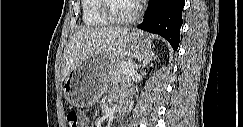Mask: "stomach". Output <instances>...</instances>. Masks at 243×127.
Returning a JSON list of instances; mask_svg holds the SVG:
<instances>
[{
    "label": "stomach",
    "mask_w": 243,
    "mask_h": 127,
    "mask_svg": "<svg viewBox=\"0 0 243 127\" xmlns=\"http://www.w3.org/2000/svg\"><path fill=\"white\" fill-rule=\"evenodd\" d=\"M151 47V38L138 30L119 37L109 49L84 60L68 74L63 84L66 101L78 108L92 106L103 93L111 67L121 60L149 55Z\"/></svg>",
    "instance_id": "stomach-1"
}]
</instances>
